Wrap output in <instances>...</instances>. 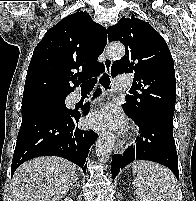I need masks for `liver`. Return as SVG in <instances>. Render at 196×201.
Segmentation results:
<instances>
[{
	"label": "liver",
	"mask_w": 196,
	"mask_h": 201,
	"mask_svg": "<svg viewBox=\"0 0 196 201\" xmlns=\"http://www.w3.org/2000/svg\"><path fill=\"white\" fill-rule=\"evenodd\" d=\"M75 180V165L56 156L23 163L12 178L13 201H59Z\"/></svg>",
	"instance_id": "liver-1"
}]
</instances>
